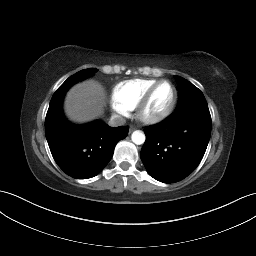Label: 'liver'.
<instances>
[{
	"mask_svg": "<svg viewBox=\"0 0 256 256\" xmlns=\"http://www.w3.org/2000/svg\"><path fill=\"white\" fill-rule=\"evenodd\" d=\"M105 90L94 80L74 85L66 95L65 113L74 122H87L100 116L105 104Z\"/></svg>",
	"mask_w": 256,
	"mask_h": 256,
	"instance_id": "6515ba94",
	"label": "liver"
}]
</instances>
